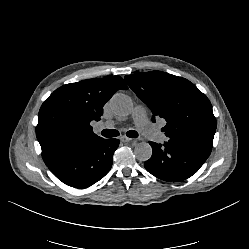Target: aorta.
<instances>
[{
	"mask_svg": "<svg viewBox=\"0 0 249 249\" xmlns=\"http://www.w3.org/2000/svg\"><path fill=\"white\" fill-rule=\"evenodd\" d=\"M110 106L113 112L118 116H127L133 110V103L129 96L116 93L110 100ZM135 157L139 161H147L152 156V147L149 143L140 142L134 148Z\"/></svg>",
	"mask_w": 249,
	"mask_h": 249,
	"instance_id": "1",
	"label": "aorta"
}]
</instances>
